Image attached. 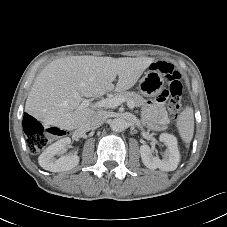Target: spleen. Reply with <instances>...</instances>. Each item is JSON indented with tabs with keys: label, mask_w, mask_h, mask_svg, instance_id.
Segmentation results:
<instances>
[{
	"label": "spleen",
	"mask_w": 227,
	"mask_h": 227,
	"mask_svg": "<svg viewBox=\"0 0 227 227\" xmlns=\"http://www.w3.org/2000/svg\"><path fill=\"white\" fill-rule=\"evenodd\" d=\"M177 129L185 143H190L194 134V114L192 107H186L177 118Z\"/></svg>",
	"instance_id": "3e777b00"
}]
</instances>
